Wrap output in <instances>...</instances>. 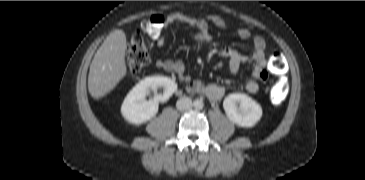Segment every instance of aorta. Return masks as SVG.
<instances>
[{"instance_id": "obj_1", "label": "aorta", "mask_w": 365, "mask_h": 180, "mask_svg": "<svg viewBox=\"0 0 365 180\" xmlns=\"http://www.w3.org/2000/svg\"><path fill=\"white\" fill-rule=\"evenodd\" d=\"M203 101L202 100H195L193 102V106L196 108V109H202L203 108Z\"/></svg>"}]
</instances>
